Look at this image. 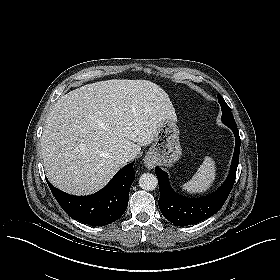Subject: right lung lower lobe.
<instances>
[{
    "mask_svg": "<svg viewBox=\"0 0 280 280\" xmlns=\"http://www.w3.org/2000/svg\"><path fill=\"white\" fill-rule=\"evenodd\" d=\"M134 162L119 170L102 190L89 196L69 195L47 183L59 205L73 219L92 226H105L118 220L127 208L130 186L135 178Z\"/></svg>",
    "mask_w": 280,
    "mask_h": 280,
    "instance_id": "obj_1",
    "label": "right lung lower lobe"
}]
</instances>
